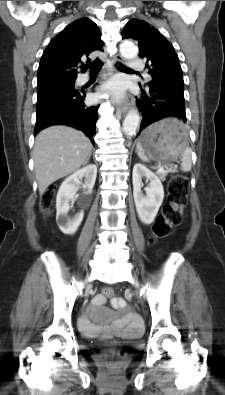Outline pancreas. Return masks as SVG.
I'll return each mask as SVG.
<instances>
[{"mask_svg":"<svg viewBox=\"0 0 225 395\" xmlns=\"http://www.w3.org/2000/svg\"><path fill=\"white\" fill-rule=\"evenodd\" d=\"M166 175H167V172H166V171L158 172V176H159L160 179L163 180V181L166 179Z\"/></svg>","mask_w":225,"mask_h":395,"instance_id":"obj_1","label":"pancreas"}]
</instances>
